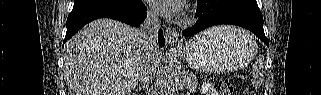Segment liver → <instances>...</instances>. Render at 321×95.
Segmentation results:
<instances>
[{"label": "liver", "mask_w": 321, "mask_h": 95, "mask_svg": "<svg viewBox=\"0 0 321 95\" xmlns=\"http://www.w3.org/2000/svg\"><path fill=\"white\" fill-rule=\"evenodd\" d=\"M210 32L221 33L219 28ZM147 55L139 29L111 19L91 22L64 47V78L70 95H129L140 81ZM160 58L157 49L155 71Z\"/></svg>", "instance_id": "6515ba94"}]
</instances>
